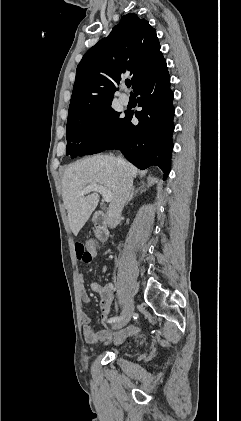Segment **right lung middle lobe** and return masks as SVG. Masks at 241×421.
I'll use <instances>...</instances> for the list:
<instances>
[{"label":"right lung middle lobe","mask_w":241,"mask_h":421,"mask_svg":"<svg viewBox=\"0 0 241 421\" xmlns=\"http://www.w3.org/2000/svg\"><path fill=\"white\" fill-rule=\"evenodd\" d=\"M119 116V112L108 107L76 121L67 122L66 155L75 158L106 150L119 138L125 128L127 116L125 118Z\"/></svg>","instance_id":"1"}]
</instances>
